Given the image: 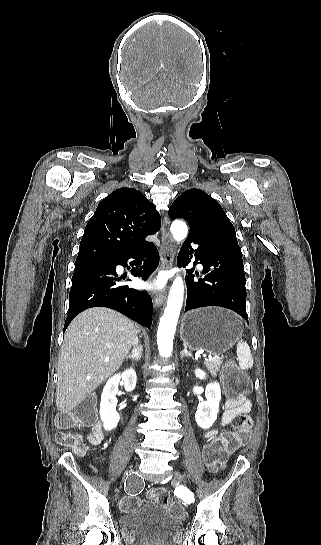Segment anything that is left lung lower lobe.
<instances>
[{
    "instance_id": "obj_1",
    "label": "left lung lower lobe",
    "mask_w": 321,
    "mask_h": 545,
    "mask_svg": "<svg viewBox=\"0 0 321 545\" xmlns=\"http://www.w3.org/2000/svg\"><path fill=\"white\" fill-rule=\"evenodd\" d=\"M193 244L199 247L193 249ZM192 259H195L194 265H203L204 278L195 280L193 270L187 271L188 297L185 311L220 306L248 320L246 279L233 225L218 224L190 230L179 252L178 264L185 267Z\"/></svg>"
}]
</instances>
